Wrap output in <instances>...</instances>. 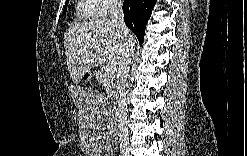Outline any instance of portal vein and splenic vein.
<instances>
[{"label":"portal vein and splenic vein","mask_w":247,"mask_h":156,"mask_svg":"<svg viewBox=\"0 0 247 156\" xmlns=\"http://www.w3.org/2000/svg\"><path fill=\"white\" fill-rule=\"evenodd\" d=\"M105 71H106L107 73L114 74L115 71H117V66H116V64H114V63L108 64V65L106 66Z\"/></svg>","instance_id":"obj_1"}]
</instances>
